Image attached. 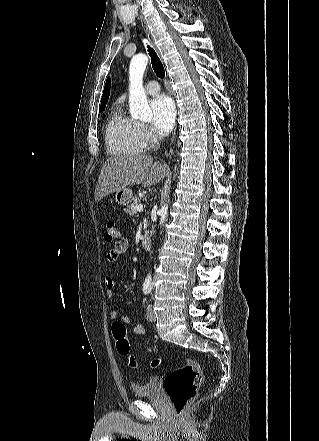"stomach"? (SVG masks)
<instances>
[{"mask_svg": "<svg viewBox=\"0 0 319 441\" xmlns=\"http://www.w3.org/2000/svg\"><path fill=\"white\" fill-rule=\"evenodd\" d=\"M132 191L129 188H123L116 192L115 201L121 206L128 205L132 201Z\"/></svg>", "mask_w": 319, "mask_h": 441, "instance_id": "0dacf381", "label": "stomach"}]
</instances>
